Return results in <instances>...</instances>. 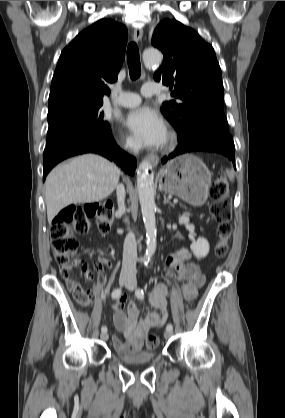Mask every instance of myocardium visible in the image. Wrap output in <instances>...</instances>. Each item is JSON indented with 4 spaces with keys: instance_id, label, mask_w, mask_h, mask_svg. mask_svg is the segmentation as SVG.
Returning <instances> with one entry per match:
<instances>
[{
    "instance_id": "obj_1",
    "label": "myocardium",
    "mask_w": 285,
    "mask_h": 418,
    "mask_svg": "<svg viewBox=\"0 0 285 418\" xmlns=\"http://www.w3.org/2000/svg\"><path fill=\"white\" fill-rule=\"evenodd\" d=\"M176 140H177V136L175 132L170 131L162 143L163 149L172 150L176 144Z\"/></svg>"
}]
</instances>
